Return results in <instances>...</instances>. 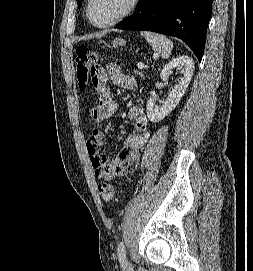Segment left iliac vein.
Returning <instances> with one entry per match:
<instances>
[{
	"instance_id": "1",
	"label": "left iliac vein",
	"mask_w": 253,
	"mask_h": 271,
	"mask_svg": "<svg viewBox=\"0 0 253 271\" xmlns=\"http://www.w3.org/2000/svg\"><path fill=\"white\" fill-rule=\"evenodd\" d=\"M126 265H127L128 268H130V264L128 262L126 263Z\"/></svg>"
}]
</instances>
